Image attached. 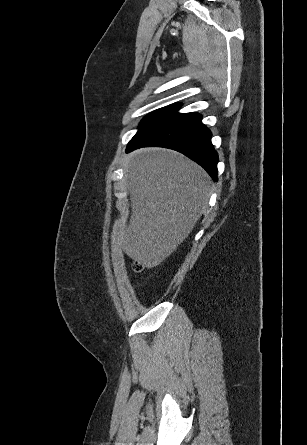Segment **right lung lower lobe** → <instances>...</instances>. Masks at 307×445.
<instances>
[{
  "mask_svg": "<svg viewBox=\"0 0 307 445\" xmlns=\"http://www.w3.org/2000/svg\"><path fill=\"white\" fill-rule=\"evenodd\" d=\"M201 120L198 113L176 110L138 131L126 152L149 146L173 149L197 162L217 181L218 155L211 143V132Z\"/></svg>",
  "mask_w": 307,
  "mask_h": 445,
  "instance_id": "right-lung-lower-lobe-1",
  "label": "right lung lower lobe"
}]
</instances>
